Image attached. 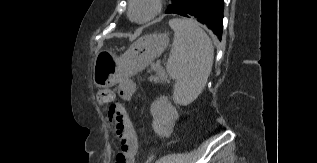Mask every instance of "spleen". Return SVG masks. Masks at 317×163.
<instances>
[{"instance_id":"spleen-1","label":"spleen","mask_w":317,"mask_h":163,"mask_svg":"<svg viewBox=\"0 0 317 163\" xmlns=\"http://www.w3.org/2000/svg\"><path fill=\"white\" fill-rule=\"evenodd\" d=\"M174 39L166 70L174 79L173 98L186 106L204 89L210 75L214 48L209 36L193 20L174 18L169 21Z\"/></svg>"}]
</instances>
